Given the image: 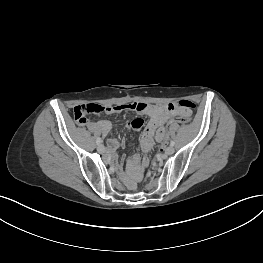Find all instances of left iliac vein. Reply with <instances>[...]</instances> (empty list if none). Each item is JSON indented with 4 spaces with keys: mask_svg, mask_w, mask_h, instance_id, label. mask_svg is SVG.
Returning a JSON list of instances; mask_svg holds the SVG:
<instances>
[{
    "mask_svg": "<svg viewBox=\"0 0 263 263\" xmlns=\"http://www.w3.org/2000/svg\"><path fill=\"white\" fill-rule=\"evenodd\" d=\"M166 155H172L174 153V148L172 146H169L165 150Z\"/></svg>",
    "mask_w": 263,
    "mask_h": 263,
    "instance_id": "obj_1",
    "label": "left iliac vein"
}]
</instances>
